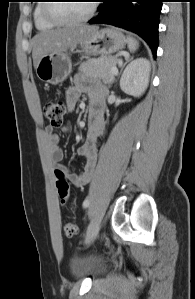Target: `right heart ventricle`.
<instances>
[{"label": "right heart ventricle", "mask_w": 195, "mask_h": 299, "mask_svg": "<svg viewBox=\"0 0 195 299\" xmlns=\"http://www.w3.org/2000/svg\"><path fill=\"white\" fill-rule=\"evenodd\" d=\"M44 0H39L33 10L34 25L38 30H49L56 27V24L49 22L43 14Z\"/></svg>", "instance_id": "e07e8e85"}]
</instances>
